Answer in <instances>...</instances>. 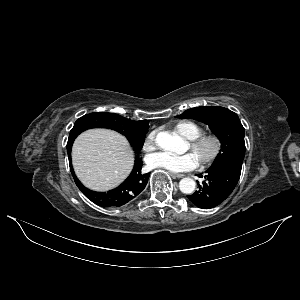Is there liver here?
Returning a JSON list of instances; mask_svg holds the SVG:
<instances>
[{
  "label": "liver",
  "mask_w": 300,
  "mask_h": 300,
  "mask_svg": "<svg viewBox=\"0 0 300 300\" xmlns=\"http://www.w3.org/2000/svg\"><path fill=\"white\" fill-rule=\"evenodd\" d=\"M76 175L88 188L110 190L129 175L133 151L124 136L107 129H91L80 134L72 147Z\"/></svg>",
  "instance_id": "1"
}]
</instances>
